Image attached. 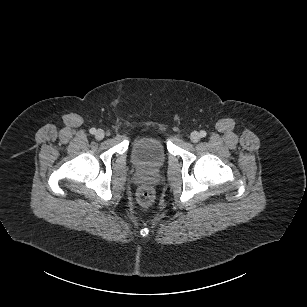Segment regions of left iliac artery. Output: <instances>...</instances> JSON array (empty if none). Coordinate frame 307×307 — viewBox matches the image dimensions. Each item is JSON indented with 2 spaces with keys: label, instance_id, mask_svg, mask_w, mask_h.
<instances>
[{
  "label": "left iliac artery",
  "instance_id": "obj_1",
  "mask_svg": "<svg viewBox=\"0 0 307 307\" xmlns=\"http://www.w3.org/2000/svg\"><path fill=\"white\" fill-rule=\"evenodd\" d=\"M206 134H207L206 131H204V130L200 131V136H201V137H205Z\"/></svg>",
  "mask_w": 307,
  "mask_h": 307
}]
</instances>
